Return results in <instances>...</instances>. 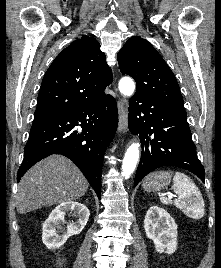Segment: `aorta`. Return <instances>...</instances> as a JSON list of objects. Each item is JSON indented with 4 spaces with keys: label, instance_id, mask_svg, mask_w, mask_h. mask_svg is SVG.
Here are the masks:
<instances>
[{
    "label": "aorta",
    "instance_id": "762f6f07",
    "mask_svg": "<svg viewBox=\"0 0 221 268\" xmlns=\"http://www.w3.org/2000/svg\"><path fill=\"white\" fill-rule=\"evenodd\" d=\"M119 90L125 96H131L135 90L134 81L130 77H123L119 81ZM139 159V146L137 143H132L128 147L122 164V176L129 178L134 172Z\"/></svg>",
    "mask_w": 221,
    "mask_h": 268
}]
</instances>
